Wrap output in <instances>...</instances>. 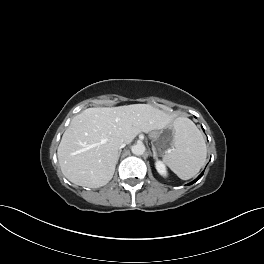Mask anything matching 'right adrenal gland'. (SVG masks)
<instances>
[{
	"mask_svg": "<svg viewBox=\"0 0 264 264\" xmlns=\"http://www.w3.org/2000/svg\"><path fill=\"white\" fill-rule=\"evenodd\" d=\"M120 154H121V150H120L119 153H118V157L120 156Z\"/></svg>",
	"mask_w": 264,
	"mask_h": 264,
	"instance_id": "1",
	"label": "right adrenal gland"
}]
</instances>
